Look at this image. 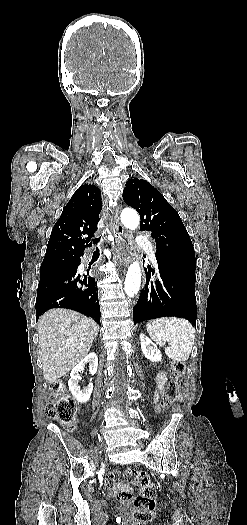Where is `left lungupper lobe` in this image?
Listing matches in <instances>:
<instances>
[{"label":"left lung upper lobe","instance_id":"5c2ea615","mask_svg":"<svg viewBox=\"0 0 247 525\" xmlns=\"http://www.w3.org/2000/svg\"><path fill=\"white\" fill-rule=\"evenodd\" d=\"M125 203L140 215V228L156 241L157 262L195 272L193 244L177 211L143 179H130L123 192Z\"/></svg>","mask_w":247,"mask_h":525}]
</instances>
